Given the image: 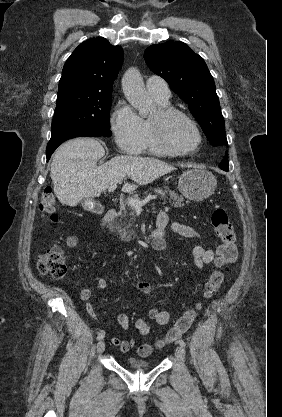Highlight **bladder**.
Masks as SVG:
<instances>
[{"instance_id": "31cf9c89", "label": "bladder", "mask_w": 282, "mask_h": 417, "mask_svg": "<svg viewBox=\"0 0 282 417\" xmlns=\"http://www.w3.org/2000/svg\"><path fill=\"white\" fill-rule=\"evenodd\" d=\"M128 367L134 370H144L150 367V363L146 360H142L136 357H129L126 361Z\"/></svg>"}]
</instances>
